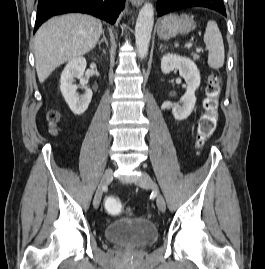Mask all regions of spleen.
I'll return each instance as SVG.
<instances>
[{
  "instance_id": "1",
  "label": "spleen",
  "mask_w": 265,
  "mask_h": 269,
  "mask_svg": "<svg viewBox=\"0 0 265 269\" xmlns=\"http://www.w3.org/2000/svg\"><path fill=\"white\" fill-rule=\"evenodd\" d=\"M204 43L209 51L208 65L212 69H220L224 64L225 51L221 32L217 23L208 21L204 34Z\"/></svg>"
}]
</instances>
